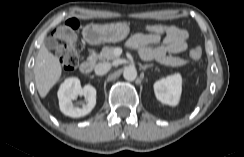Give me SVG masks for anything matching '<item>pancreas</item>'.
Returning <instances> with one entry per match:
<instances>
[{"label":"pancreas","mask_w":244,"mask_h":157,"mask_svg":"<svg viewBox=\"0 0 244 157\" xmlns=\"http://www.w3.org/2000/svg\"><path fill=\"white\" fill-rule=\"evenodd\" d=\"M115 47L105 46L102 48L98 58L101 60H114L117 59L118 56L114 54ZM156 61L165 66L178 67L183 66L188 63L187 60L181 59L180 57L162 56L156 57Z\"/></svg>","instance_id":"obj_1"}]
</instances>
